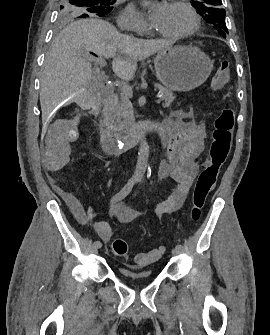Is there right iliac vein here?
Instances as JSON below:
<instances>
[{
    "mask_svg": "<svg viewBox=\"0 0 270 335\" xmlns=\"http://www.w3.org/2000/svg\"><path fill=\"white\" fill-rule=\"evenodd\" d=\"M98 250H99V248L98 247H96V246H94V245H92V252L93 253H97L98 252Z\"/></svg>",
    "mask_w": 270,
    "mask_h": 335,
    "instance_id": "63e3f726",
    "label": "right iliac vein"
}]
</instances>
